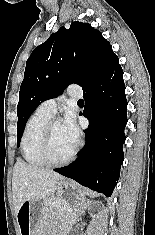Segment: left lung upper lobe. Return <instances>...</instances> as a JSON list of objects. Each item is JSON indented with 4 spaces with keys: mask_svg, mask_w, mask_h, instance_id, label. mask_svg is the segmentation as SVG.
<instances>
[{
    "mask_svg": "<svg viewBox=\"0 0 155 235\" xmlns=\"http://www.w3.org/2000/svg\"><path fill=\"white\" fill-rule=\"evenodd\" d=\"M118 57L102 33L75 21L61 27L36 47L27 60L17 106L19 144L26 122L45 100L59 96L72 83L93 85Z\"/></svg>",
    "mask_w": 155,
    "mask_h": 235,
    "instance_id": "left-lung-upper-lobe-1",
    "label": "left lung upper lobe"
}]
</instances>
